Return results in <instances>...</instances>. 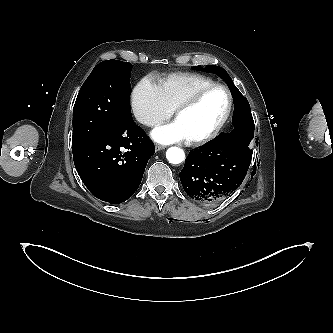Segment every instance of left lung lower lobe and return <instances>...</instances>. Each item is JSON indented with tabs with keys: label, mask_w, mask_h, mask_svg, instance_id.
Masks as SVG:
<instances>
[{
	"label": "left lung lower lobe",
	"mask_w": 333,
	"mask_h": 333,
	"mask_svg": "<svg viewBox=\"0 0 333 333\" xmlns=\"http://www.w3.org/2000/svg\"><path fill=\"white\" fill-rule=\"evenodd\" d=\"M249 141L243 133H221L209 144L191 151L179 173L185 192L206 205L227 198L247 174L252 157L247 149Z\"/></svg>",
	"instance_id": "1"
}]
</instances>
